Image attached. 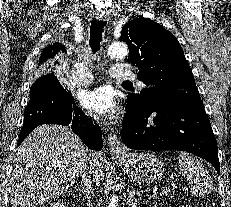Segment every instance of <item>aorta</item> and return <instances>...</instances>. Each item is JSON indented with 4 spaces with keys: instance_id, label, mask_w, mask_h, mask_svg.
Listing matches in <instances>:
<instances>
[{
    "instance_id": "aorta-1",
    "label": "aorta",
    "mask_w": 231,
    "mask_h": 207,
    "mask_svg": "<svg viewBox=\"0 0 231 207\" xmlns=\"http://www.w3.org/2000/svg\"><path fill=\"white\" fill-rule=\"evenodd\" d=\"M106 53L111 58L123 59L128 56L129 50L125 43L116 42L108 46ZM107 207H118V198L116 196H112Z\"/></svg>"
}]
</instances>
